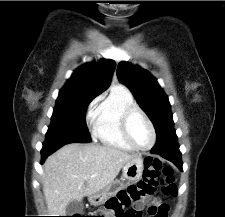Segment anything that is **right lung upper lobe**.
I'll list each match as a JSON object with an SVG mask.
<instances>
[{
	"instance_id": "right-lung-upper-lobe-1",
	"label": "right lung upper lobe",
	"mask_w": 225,
	"mask_h": 217,
	"mask_svg": "<svg viewBox=\"0 0 225 217\" xmlns=\"http://www.w3.org/2000/svg\"><path fill=\"white\" fill-rule=\"evenodd\" d=\"M115 66L113 60L105 59L80 66L60 90L59 96H98L109 87Z\"/></svg>"
}]
</instances>
